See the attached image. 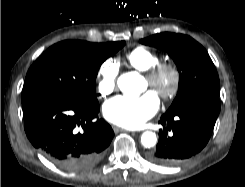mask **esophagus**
Wrapping results in <instances>:
<instances>
[{"label": "esophagus", "instance_id": "34e87169", "mask_svg": "<svg viewBox=\"0 0 245 187\" xmlns=\"http://www.w3.org/2000/svg\"><path fill=\"white\" fill-rule=\"evenodd\" d=\"M113 129L115 132L127 131V130L120 128V127H117V126H114Z\"/></svg>", "mask_w": 245, "mask_h": 187}]
</instances>
